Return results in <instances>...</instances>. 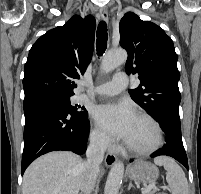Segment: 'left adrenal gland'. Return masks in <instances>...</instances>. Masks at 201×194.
Listing matches in <instances>:
<instances>
[{
    "label": "left adrenal gland",
    "mask_w": 201,
    "mask_h": 194,
    "mask_svg": "<svg viewBox=\"0 0 201 194\" xmlns=\"http://www.w3.org/2000/svg\"><path fill=\"white\" fill-rule=\"evenodd\" d=\"M131 188H134V186L132 185V182L129 183L128 190H130Z\"/></svg>",
    "instance_id": "obj_1"
}]
</instances>
